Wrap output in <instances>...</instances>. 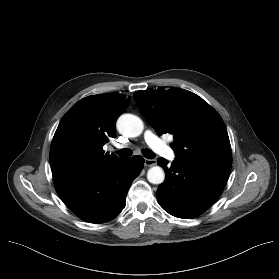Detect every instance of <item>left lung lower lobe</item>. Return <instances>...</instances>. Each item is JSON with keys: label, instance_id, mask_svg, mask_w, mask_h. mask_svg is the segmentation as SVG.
Here are the masks:
<instances>
[{"label": "left lung lower lobe", "instance_id": "0a47b994", "mask_svg": "<svg viewBox=\"0 0 279 279\" xmlns=\"http://www.w3.org/2000/svg\"><path fill=\"white\" fill-rule=\"evenodd\" d=\"M158 164L166 179L156 192L160 206L178 218H193L205 212L221 195L231 165L175 158L171 166L162 157Z\"/></svg>", "mask_w": 279, "mask_h": 279}]
</instances>
